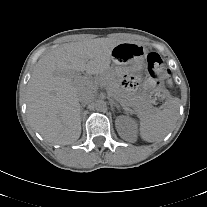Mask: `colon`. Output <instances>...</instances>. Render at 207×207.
I'll use <instances>...</instances> for the list:
<instances>
[{
  "mask_svg": "<svg viewBox=\"0 0 207 207\" xmlns=\"http://www.w3.org/2000/svg\"><path fill=\"white\" fill-rule=\"evenodd\" d=\"M148 72L154 90L151 95V102L155 109L164 108L169 101L167 90V77L170 71L161 56L156 52H151L147 56Z\"/></svg>",
  "mask_w": 207,
  "mask_h": 207,
  "instance_id": "colon-1",
  "label": "colon"
}]
</instances>
